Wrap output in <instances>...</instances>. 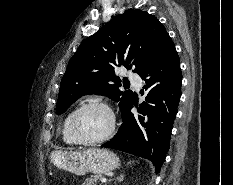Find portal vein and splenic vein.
I'll use <instances>...</instances> for the list:
<instances>
[{
  "instance_id": "18ae733b",
  "label": "portal vein and splenic vein",
  "mask_w": 233,
  "mask_h": 185,
  "mask_svg": "<svg viewBox=\"0 0 233 185\" xmlns=\"http://www.w3.org/2000/svg\"><path fill=\"white\" fill-rule=\"evenodd\" d=\"M100 181H101L102 183H105V182H107V179H106V178H101Z\"/></svg>"
}]
</instances>
